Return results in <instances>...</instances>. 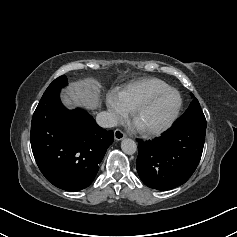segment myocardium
<instances>
[{
  "label": "myocardium",
  "instance_id": "1",
  "mask_svg": "<svg viewBox=\"0 0 237 237\" xmlns=\"http://www.w3.org/2000/svg\"><path fill=\"white\" fill-rule=\"evenodd\" d=\"M169 93H174L177 95L178 103H177L175 109L173 110V112L171 113V115L168 117V119L161 125L154 126V127H146V126L140 125L138 123L139 115L144 110H146L150 105H152L157 99H159L160 97H162L166 94H169ZM182 105H183V99H182L180 92L178 90H176L175 88L169 87L164 90L158 91V92L146 97L141 102H139L131 111V120H132L134 127L141 134H144V135L161 134L164 131L168 130L174 124V122L178 118L179 113L182 109Z\"/></svg>",
  "mask_w": 237,
  "mask_h": 237
}]
</instances>
